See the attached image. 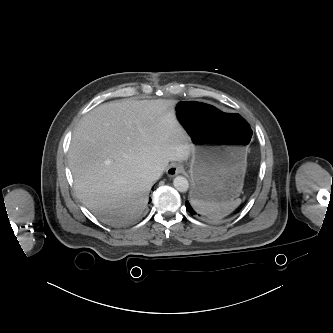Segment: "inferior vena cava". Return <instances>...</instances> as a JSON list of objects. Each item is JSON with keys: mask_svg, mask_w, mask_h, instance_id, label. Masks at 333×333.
Segmentation results:
<instances>
[{"mask_svg": "<svg viewBox=\"0 0 333 333\" xmlns=\"http://www.w3.org/2000/svg\"><path fill=\"white\" fill-rule=\"evenodd\" d=\"M162 174V170L161 169H155V170H147L146 172H144L142 175L145 178H151V179H158Z\"/></svg>", "mask_w": 333, "mask_h": 333, "instance_id": "1", "label": "inferior vena cava"}]
</instances>
